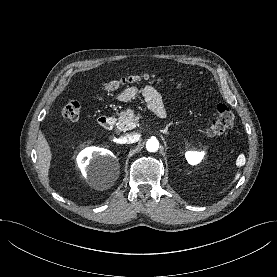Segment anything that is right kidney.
Wrapping results in <instances>:
<instances>
[{"label":"right kidney","instance_id":"ca27d5eb","mask_svg":"<svg viewBox=\"0 0 277 277\" xmlns=\"http://www.w3.org/2000/svg\"><path fill=\"white\" fill-rule=\"evenodd\" d=\"M113 154L103 148L90 147L83 150L77 157L78 166L81 168L83 175L92 177L94 164L98 162L113 161Z\"/></svg>","mask_w":277,"mask_h":277}]
</instances>
